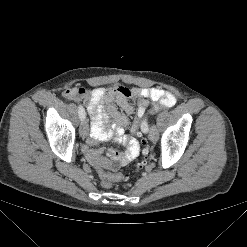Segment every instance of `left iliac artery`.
Segmentation results:
<instances>
[{
	"mask_svg": "<svg viewBox=\"0 0 247 247\" xmlns=\"http://www.w3.org/2000/svg\"><path fill=\"white\" fill-rule=\"evenodd\" d=\"M143 126H146V129H145V130H146V132H147L149 129H148V124H147L146 121H144V122L142 123V126H141V127H143Z\"/></svg>",
	"mask_w": 247,
	"mask_h": 247,
	"instance_id": "1",
	"label": "left iliac artery"
}]
</instances>
